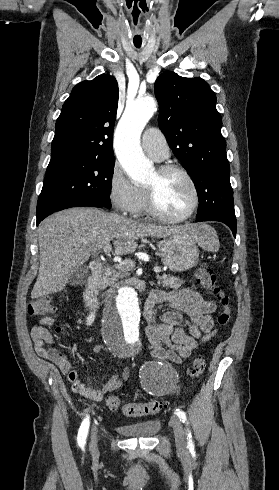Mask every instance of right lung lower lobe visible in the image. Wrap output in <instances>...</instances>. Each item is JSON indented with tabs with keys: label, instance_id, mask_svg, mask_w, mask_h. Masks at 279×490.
Wrapping results in <instances>:
<instances>
[{
	"label": "right lung lower lobe",
	"instance_id": "right-lung-lower-lobe-1",
	"mask_svg": "<svg viewBox=\"0 0 279 490\" xmlns=\"http://www.w3.org/2000/svg\"><path fill=\"white\" fill-rule=\"evenodd\" d=\"M78 206L103 207L102 205L88 199H77V200L66 201L53 206L48 213L41 216H37V225L44 218H46L48 215L52 214L53 212L60 211L70 207H78Z\"/></svg>",
	"mask_w": 279,
	"mask_h": 490
}]
</instances>
